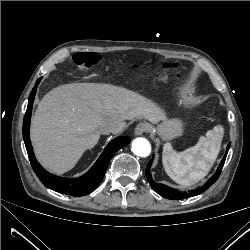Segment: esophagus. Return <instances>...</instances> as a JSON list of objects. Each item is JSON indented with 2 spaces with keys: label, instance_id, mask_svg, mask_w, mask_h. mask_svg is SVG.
<instances>
[{
  "label": "esophagus",
  "instance_id": "obj_1",
  "mask_svg": "<svg viewBox=\"0 0 250 250\" xmlns=\"http://www.w3.org/2000/svg\"><path fill=\"white\" fill-rule=\"evenodd\" d=\"M148 129H149L148 124L142 122L136 126L134 133L136 136H139V135H142L143 133L147 132Z\"/></svg>",
  "mask_w": 250,
  "mask_h": 250
}]
</instances>
